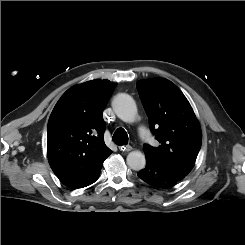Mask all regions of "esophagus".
<instances>
[{"label":"esophagus","mask_w":245,"mask_h":245,"mask_svg":"<svg viewBox=\"0 0 245 245\" xmlns=\"http://www.w3.org/2000/svg\"><path fill=\"white\" fill-rule=\"evenodd\" d=\"M119 149L120 151H123V152H129L132 150V147L130 145H122V146H119Z\"/></svg>","instance_id":"obj_1"}]
</instances>
